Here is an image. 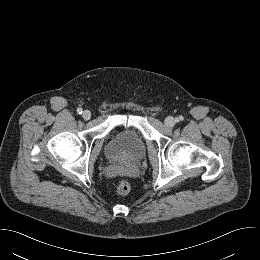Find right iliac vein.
Masks as SVG:
<instances>
[{"mask_svg": "<svg viewBox=\"0 0 260 260\" xmlns=\"http://www.w3.org/2000/svg\"><path fill=\"white\" fill-rule=\"evenodd\" d=\"M82 117L85 119V120H89L91 118V112L89 110H85L83 113H82Z\"/></svg>", "mask_w": 260, "mask_h": 260, "instance_id": "1", "label": "right iliac vein"}]
</instances>
